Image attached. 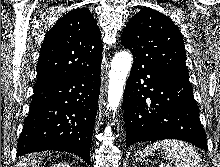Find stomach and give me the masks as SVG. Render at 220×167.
<instances>
[{"label": "stomach", "mask_w": 220, "mask_h": 167, "mask_svg": "<svg viewBox=\"0 0 220 167\" xmlns=\"http://www.w3.org/2000/svg\"><path fill=\"white\" fill-rule=\"evenodd\" d=\"M150 153L146 154L145 152H140L138 151L137 153H135V158L136 160H139V161H148V157H149Z\"/></svg>", "instance_id": "stomach-1"}]
</instances>
